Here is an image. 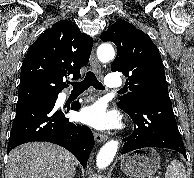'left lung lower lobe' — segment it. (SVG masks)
I'll list each match as a JSON object with an SVG mask.
<instances>
[{
	"instance_id": "left-lung-lower-lobe-1",
	"label": "left lung lower lobe",
	"mask_w": 194,
	"mask_h": 178,
	"mask_svg": "<svg viewBox=\"0 0 194 178\" xmlns=\"http://www.w3.org/2000/svg\"><path fill=\"white\" fill-rule=\"evenodd\" d=\"M134 133L125 139L122 154L147 147L176 150L186 157L185 147L177 128L170 98L138 97L130 110Z\"/></svg>"
}]
</instances>
